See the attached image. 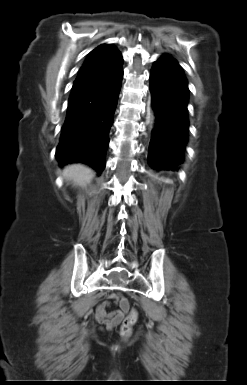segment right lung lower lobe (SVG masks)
Returning a JSON list of instances; mask_svg holds the SVG:
<instances>
[{
	"instance_id": "obj_1",
	"label": "right lung lower lobe",
	"mask_w": 247,
	"mask_h": 385,
	"mask_svg": "<svg viewBox=\"0 0 247 385\" xmlns=\"http://www.w3.org/2000/svg\"><path fill=\"white\" fill-rule=\"evenodd\" d=\"M122 78L121 62L74 82L56 151L60 165L83 162L98 173L103 171Z\"/></svg>"
}]
</instances>
